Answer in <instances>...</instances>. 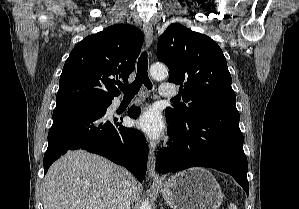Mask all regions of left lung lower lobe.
Masks as SVG:
<instances>
[{"mask_svg":"<svg viewBox=\"0 0 299 209\" xmlns=\"http://www.w3.org/2000/svg\"><path fill=\"white\" fill-rule=\"evenodd\" d=\"M166 119L173 143L157 154L159 173L190 167L214 168L230 174L248 196V165L235 104H206L186 121Z\"/></svg>","mask_w":299,"mask_h":209,"instance_id":"obj_1","label":"left lung lower lobe"}]
</instances>
